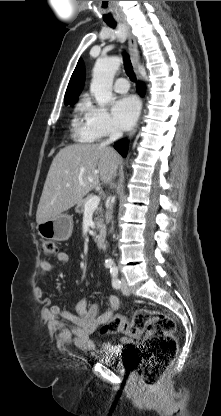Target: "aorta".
Returning a JSON list of instances; mask_svg holds the SVG:
<instances>
[{
	"label": "aorta",
	"instance_id": "1",
	"mask_svg": "<svg viewBox=\"0 0 221 416\" xmlns=\"http://www.w3.org/2000/svg\"><path fill=\"white\" fill-rule=\"evenodd\" d=\"M120 64L121 59L117 56L99 59L95 63L90 92L94 95L99 106H104L111 102L113 98V79ZM106 262L109 265L114 264L111 258L107 259Z\"/></svg>",
	"mask_w": 221,
	"mask_h": 416
}]
</instances>
